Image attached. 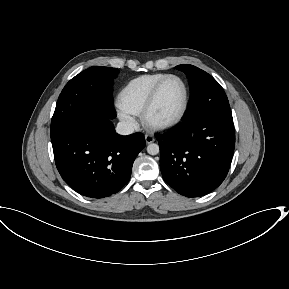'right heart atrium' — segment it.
<instances>
[{"label": "right heart atrium", "instance_id": "right-heart-atrium-1", "mask_svg": "<svg viewBox=\"0 0 289 289\" xmlns=\"http://www.w3.org/2000/svg\"><path fill=\"white\" fill-rule=\"evenodd\" d=\"M118 116L119 118L125 122L126 124H128L129 126H134L136 124L135 118L133 117V115L129 112H127L126 110H124L123 108H121L120 106L118 107Z\"/></svg>", "mask_w": 289, "mask_h": 289}]
</instances>
